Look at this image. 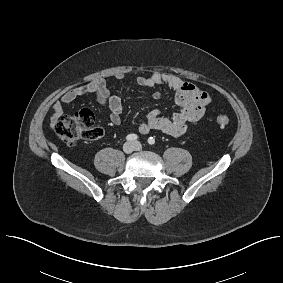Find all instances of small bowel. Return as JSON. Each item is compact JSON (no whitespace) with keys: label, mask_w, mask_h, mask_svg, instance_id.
<instances>
[{"label":"small bowel","mask_w":283,"mask_h":283,"mask_svg":"<svg viewBox=\"0 0 283 283\" xmlns=\"http://www.w3.org/2000/svg\"><path fill=\"white\" fill-rule=\"evenodd\" d=\"M117 79L123 80L124 76L119 74ZM137 83L144 88H155L160 85L169 87L174 91L175 102L179 106L178 112L171 117L163 116L158 109L151 110L146 115L145 121L138 127L141 134L158 130L171 136H181L190 125H196L201 121L211 102V96L207 91L173 74L153 72L149 76L138 77ZM88 94L94 95L100 104L108 108L112 124L119 125L121 123L123 110L121 98L110 90L104 80H95L88 85L76 87L64 94L60 101L53 103L51 107L52 123H55L63 115L65 105ZM152 96L154 99H159L162 93L155 90Z\"/></svg>","instance_id":"small-bowel-1"}]
</instances>
